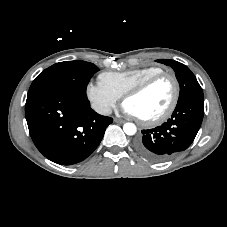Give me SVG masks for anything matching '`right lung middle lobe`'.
I'll return each mask as SVG.
<instances>
[{
	"mask_svg": "<svg viewBox=\"0 0 227 227\" xmlns=\"http://www.w3.org/2000/svg\"><path fill=\"white\" fill-rule=\"evenodd\" d=\"M99 69L81 60L65 61L42 71L32 82L28 96L44 90H60L83 96L89 79Z\"/></svg>",
	"mask_w": 227,
	"mask_h": 227,
	"instance_id": "1",
	"label": "right lung middle lobe"
}]
</instances>
